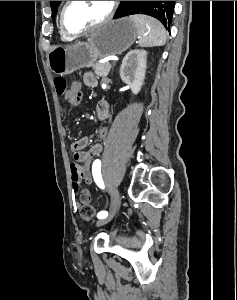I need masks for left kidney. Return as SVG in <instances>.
<instances>
[{
	"label": "left kidney",
	"instance_id": "obj_1",
	"mask_svg": "<svg viewBox=\"0 0 237 300\" xmlns=\"http://www.w3.org/2000/svg\"><path fill=\"white\" fill-rule=\"evenodd\" d=\"M147 53L143 49H133L125 55L120 67V77L126 85H129L132 93L137 95L144 83Z\"/></svg>",
	"mask_w": 237,
	"mask_h": 300
}]
</instances>
